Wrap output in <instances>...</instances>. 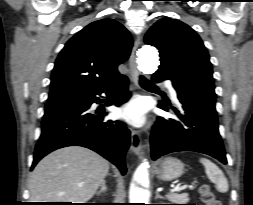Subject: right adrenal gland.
Segmentation results:
<instances>
[{
	"instance_id": "obj_1",
	"label": "right adrenal gland",
	"mask_w": 253,
	"mask_h": 205,
	"mask_svg": "<svg viewBox=\"0 0 253 205\" xmlns=\"http://www.w3.org/2000/svg\"><path fill=\"white\" fill-rule=\"evenodd\" d=\"M107 191L106 181L104 180L101 184L100 190L96 193L97 195L102 194L103 192Z\"/></svg>"
}]
</instances>
